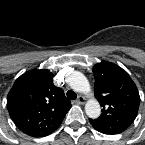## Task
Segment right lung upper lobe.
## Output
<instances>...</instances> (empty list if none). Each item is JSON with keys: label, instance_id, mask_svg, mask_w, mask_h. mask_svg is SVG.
Instances as JSON below:
<instances>
[{"label": "right lung upper lobe", "instance_id": "1", "mask_svg": "<svg viewBox=\"0 0 145 145\" xmlns=\"http://www.w3.org/2000/svg\"><path fill=\"white\" fill-rule=\"evenodd\" d=\"M47 69L31 70L21 75L7 97V109L15 125L32 137L55 131L71 107L61 88Z\"/></svg>", "mask_w": 145, "mask_h": 145}]
</instances>
